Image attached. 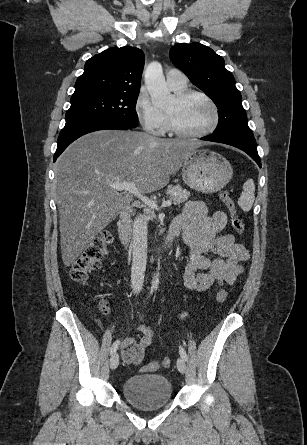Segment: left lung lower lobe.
Masks as SVG:
<instances>
[{
  "label": "left lung lower lobe",
  "instance_id": "obj_1",
  "mask_svg": "<svg viewBox=\"0 0 307 445\" xmlns=\"http://www.w3.org/2000/svg\"><path fill=\"white\" fill-rule=\"evenodd\" d=\"M201 140L219 142L234 146L246 152L261 167V160L257 152V145L253 135L220 134L202 137Z\"/></svg>",
  "mask_w": 307,
  "mask_h": 445
}]
</instances>
